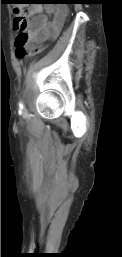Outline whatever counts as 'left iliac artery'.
<instances>
[{"label": "left iliac artery", "instance_id": "44dca946", "mask_svg": "<svg viewBox=\"0 0 122 257\" xmlns=\"http://www.w3.org/2000/svg\"><path fill=\"white\" fill-rule=\"evenodd\" d=\"M19 107H20V108H23V104H22V103H19Z\"/></svg>", "mask_w": 122, "mask_h": 257}]
</instances>
